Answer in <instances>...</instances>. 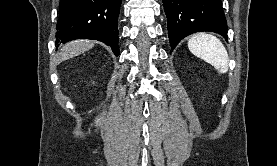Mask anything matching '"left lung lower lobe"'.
<instances>
[{
  "instance_id": "left-lung-lower-lobe-1",
  "label": "left lung lower lobe",
  "mask_w": 277,
  "mask_h": 166,
  "mask_svg": "<svg viewBox=\"0 0 277 166\" xmlns=\"http://www.w3.org/2000/svg\"><path fill=\"white\" fill-rule=\"evenodd\" d=\"M172 48L184 37L201 31L227 38V22L220 0H162Z\"/></svg>"
}]
</instances>
